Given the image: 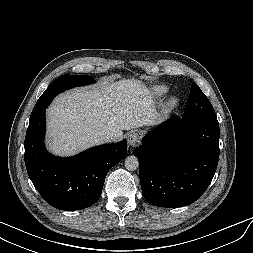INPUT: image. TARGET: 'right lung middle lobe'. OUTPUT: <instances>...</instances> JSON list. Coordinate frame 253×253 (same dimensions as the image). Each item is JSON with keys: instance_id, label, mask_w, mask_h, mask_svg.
<instances>
[{"instance_id": "obj_1", "label": "right lung middle lobe", "mask_w": 253, "mask_h": 253, "mask_svg": "<svg viewBox=\"0 0 253 253\" xmlns=\"http://www.w3.org/2000/svg\"><path fill=\"white\" fill-rule=\"evenodd\" d=\"M91 76L87 75H62L57 78L38 99L30 117L47 108L53 98L66 89L94 83Z\"/></svg>"}]
</instances>
